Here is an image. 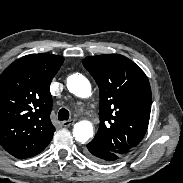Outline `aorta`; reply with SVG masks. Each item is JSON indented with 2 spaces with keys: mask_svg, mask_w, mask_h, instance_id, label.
I'll return each mask as SVG.
<instances>
[{
  "mask_svg": "<svg viewBox=\"0 0 183 183\" xmlns=\"http://www.w3.org/2000/svg\"><path fill=\"white\" fill-rule=\"evenodd\" d=\"M67 88L77 97L91 96V84L81 74H73L67 78ZM73 136L78 142L85 143L93 136V125L89 121H80L74 125Z\"/></svg>",
  "mask_w": 183,
  "mask_h": 183,
  "instance_id": "aorta-1",
  "label": "aorta"
}]
</instances>
